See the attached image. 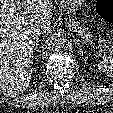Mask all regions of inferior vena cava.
Instances as JSON below:
<instances>
[{"instance_id":"1","label":"inferior vena cava","mask_w":113,"mask_h":113,"mask_svg":"<svg viewBox=\"0 0 113 113\" xmlns=\"http://www.w3.org/2000/svg\"><path fill=\"white\" fill-rule=\"evenodd\" d=\"M43 32H44V29L38 28V29L36 30V36L42 34Z\"/></svg>"}]
</instances>
